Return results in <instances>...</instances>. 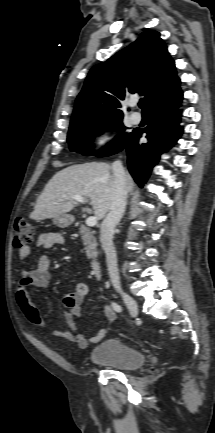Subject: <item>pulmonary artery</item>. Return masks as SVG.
I'll return each instance as SVG.
<instances>
[{
	"label": "pulmonary artery",
	"instance_id": "obj_1",
	"mask_svg": "<svg viewBox=\"0 0 215 433\" xmlns=\"http://www.w3.org/2000/svg\"><path fill=\"white\" fill-rule=\"evenodd\" d=\"M130 106H131V107H135V106H136V103H135V102H131V103H130ZM130 118H131V121H132L133 123H135V124L140 123L141 120H142V116H141V114H140L139 112H133V113L130 115Z\"/></svg>",
	"mask_w": 215,
	"mask_h": 433
}]
</instances>
